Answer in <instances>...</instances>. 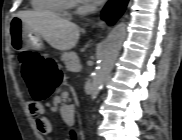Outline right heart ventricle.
Here are the masks:
<instances>
[{"instance_id": "e07e8e85", "label": "right heart ventricle", "mask_w": 182, "mask_h": 140, "mask_svg": "<svg viewBox=\"0 0 182 140\" xmlns=\"http://www.w3.org/2000/svg\"><path fill=\"white\" fill-rule=\"evenodd\" d=\"M69 0H33L32 7L36 11L65 15Z\"/></svg>"}]
</instances>
